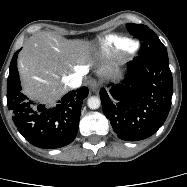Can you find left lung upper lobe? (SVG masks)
Instances as JSON below:
<instances>
[{
	"label": "left lung upper lobe",
	"instance_id": "1",
	"mask_svg": "<svg viewBox=\"0 0 187 187\" xmlns=\"http://www.w3.org/2000/svg\"><path fill=\"white\" fill-rule=\"evenodd\" d=\"M127 29L133 36L144 42L140 56L168 60L166 48L150 28L142 24L129 23Z\"/></svg>",
	"mask_w": 187,
	"mask_h": 187
}]
</instances>
